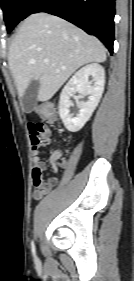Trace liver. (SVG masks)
<instances>
[{"label": "liver", "mask_w": 134, "mask_h": 281, "mask_svg": "<svg viewBox=\"0 0 134 281\" xmlns=\"http://www.w3.org/2000/svg\"><path fill=\"white\" fill-rule=\"evenodd\" d=\"M106 49L94 36L54 15L34 13L21 24L8 52L18 95L39 81L37 100L48 101L79 67L106 61ZM49 62L45 63L44 60Z\"/></svg>", "instance_id": "6515ba94"}]
</instances>
